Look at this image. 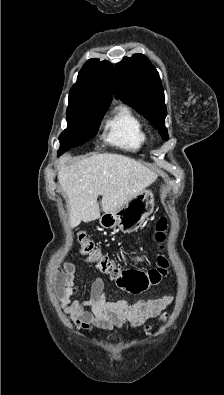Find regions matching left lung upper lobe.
<instances>
[{
  "mask_svg": "<svg viewBox=\"0 0 224 395\" xmlns=\"http://www.w3.org/2000/svg\"><path fill=\"white\" fill-rule=\"evenodd\" d=\"M115 96L147 118L164 140L168 139L164 90L156 68L145 55L134 54L117 63Z\"/></svg>",
  "mask_w": 224,
  "mask_h": 395,
  "instance_id": "5c2ea615",
  "label": "left lung upper lobe"
}]
</instances>
